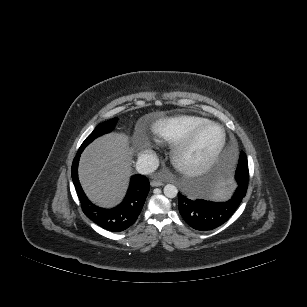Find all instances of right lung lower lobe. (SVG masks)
Segmentation results:
<instances>
[{"label": "right lung lower lobe", "mask_w": 307, "mask_h": 307, "mask_svg": "<svg viewBox=\"0 0 307 307\" xmlns=\"http://www.w3.org/2000/svg\"><path fill=\"white\" fill-rule=\"evenodd\" d=\"M83 149L78 150L72 164V180L84 214L100 227L120 232L130 227L139 216L150 189L149 180L140 174L131 178L123 202L115 208L103 209L91 203L83 192L78 180V162Z\"/></svg>", "instance_id": "right-lung-lower-lobe-1"}]
</instances>
